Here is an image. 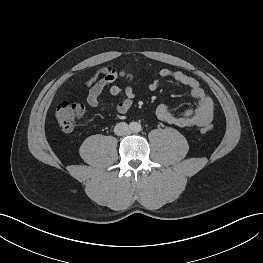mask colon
Returning a JSON list of instances; mask_svg holds the SVG:
<instances>
[{
	"label": "colon",
	"mask_w": 263,
	"mask_h": 263,
	"mask_svg": "<svg viewBox=\"0 0 263 263\" xmlns=\"http://www.w3.org/2000/svg\"><path fill=\"white\" fill-rule=\"evenodd\" d=\"M100 73L109 81H115L117 79L132 80L129 74L112 68H103ZM84 112L85 107L82 103L69 101L59 103L55 111L59 128L62 131H71L76 126L77 121L83 116ZM211 131V126H206L202 129L203 133H209Z\"/></svg>",
	"instance_id": "5ec220e1"
}]
</instances>
